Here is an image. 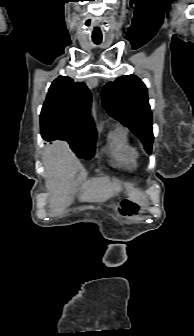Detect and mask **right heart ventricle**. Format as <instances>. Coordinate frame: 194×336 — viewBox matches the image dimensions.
I'll return each instance as SVG.
<instances>
[{"label": "right heart ventricle", "mask_w": 194, "mask_h": 336, "mask_svg": "<svg viewBox=\"0 0 194 336\" xmlns=\"http://www.w3.org/2000/svg\"><path fill=\"white\" fill-rule=\"evenodd\" d=\"M108 152L119 165L134 166L138 151L129 140L128 132L123 126H116L108 136Z\"/></svg>", "instance_id": "e07e8e85"}]
</instances>
